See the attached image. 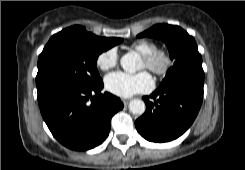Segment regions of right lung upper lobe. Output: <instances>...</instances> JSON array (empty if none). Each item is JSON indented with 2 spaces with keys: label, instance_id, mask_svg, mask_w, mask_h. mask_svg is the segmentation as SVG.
Here are the masks:
<instances>
[{
  "label": "right lung upper lobe",
  "instance_id": "right-lung-upper-lobe-1",
  "mask_svg": "<svg viewBox=\"0 0 245 170\" xmlns=\"http://www.w3.org/2000/svg\"><path fill=\"white\" fill-rule=\"evenodd\" d=\"M63 32H73V33H78V34H81L89 39H92L94 41H97V42H101V43H105V44H109V45H116V44H119V40L120 38H102V37H98L90 32H87L86 29L82 26H78V25H75V26H72V27H69V28H66L64 30H62Z\"/></svg>",
  "mask_w": 245,
  "mask_h": 170
}]
</instances>
